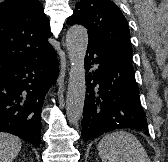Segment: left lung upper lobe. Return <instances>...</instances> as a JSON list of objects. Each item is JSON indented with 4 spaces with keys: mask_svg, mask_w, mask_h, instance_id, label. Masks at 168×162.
<instances>
[{
    "mask_svg": "<svg viewBox=\"0 0 168 162\" xmlns=\"http://www.w3.org/2000/svg\"><path fill=\"white\" fill-rule=\"evenodd\" d=\"M70 25L82 24L94 42L132 63V46L127 21L111 0H79Z\"/></svg>",
    "mask_w": 168,
    "mask_h": 162,
    "instance_id": "1",
    "label": "left lung upper lobe"
}]
</instances>
